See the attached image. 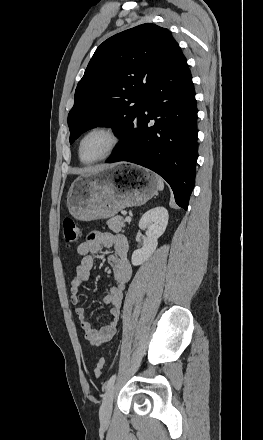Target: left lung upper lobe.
Masks as SVG:
<instances>
[{"label": "left lung upper lobe", "instance_id": "obj_1", "mask_svg": "<svg viewBox=\"0 0 263 440\" xmlns=\"http://www.w3.org/2000/svg\"><path fill=\"white\" fill-rule=\"evenodd\" d=\"M174 44L168 29L151 23L104 41L77 85L68 115L70 143L95 126L112 127L122 139L114 151L129 142L148 90Z\"/></svg>", "mask_w": 263, "mask_h": 440}]
</instances>
